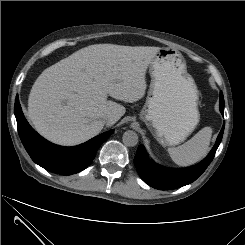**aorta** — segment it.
I'll return each instance as SVG.
<instances>
[{
  "instance_id": "obj_1",
  "label": "aorta",
  "mask_w": 245,
  "mask_h": 245,
  "mask_svg": "<svg viewBox=\"0 0 245 245\" xmlns=\"http://www.w3.org/2000/svg\"><path fill=\"white\" fill-rule=\"evenodd\" d=\"M123 143L128 147H134L138 143V135L132 130L124 132L122 136Z\"/></svg>"
}]
</instances>
